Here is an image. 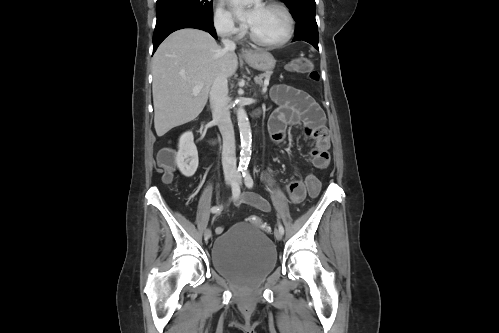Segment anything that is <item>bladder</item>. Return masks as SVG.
Here are the masks:
<instances>
[{
	"mask_svg": "<svg viewBox=\"0 0 499 333\" xmlns=\"http://www.w3.org/2000/svg\"><path fill=\"white\" fill-rule=\"evenodd\" d=\"M214 269L241 287H253L277 266V250L257 226L238 222L218 236L212 250Z\"/></svg>",
	"mask_w": 499,
	"mask_h": 333,
	"instance_id": "1",
	"label": "bladder"
}]
</instances>
